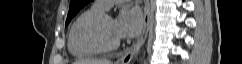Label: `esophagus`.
I'll return each mask as SVG.
<instances>
[{
  "label": "esophagus",
  "mask_w": 242,
  "mask_h": 64,
  "mask_svg": "<svg viewBox=\"0 0 242 64\" xmlns=\"http://www.w3.org/2000/svg\"><path fill=\"white\" fill-rule=\"evenodd\" d=\"M151 16H150V3L149 0L145 1L144 18H143V30L139 39L125 51V54L118 60L119 64H129L133 56L137 53L140 47L146 40L149 28H150Z\"/></svg>",
  "instance_id": "1"
}]
</instances>
